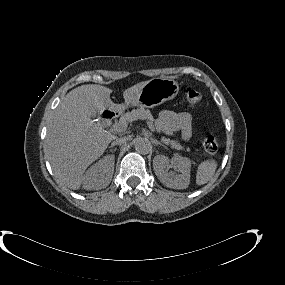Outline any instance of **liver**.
Returning <instances> with one entry per match:
<instances>
[{
	"label": "liver",
	"mask_w": 285,
	"mask_h": 285,
	"mask_svg": "<svg viewBox=\"0 0 285 285\" xmlns=\"http://www.w3.org/2000/svg\"><path fill=\"white\" fill-rule=\"evenodd\" d=\"M148 81L137 83L123 92L124 105L136 102ZM112 90L88 84L71 90L55 109L45 139V154L55 176L68 188L77 190L87 167L106 150L113 136L103 132L91 116L115 108Z\"/></svg>",
	"instance_id": "6515ba94"
}]
</instances>
